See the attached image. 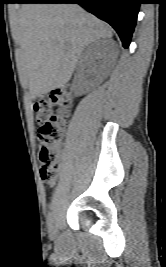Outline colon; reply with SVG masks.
<instances>
[{
	"instance_id": "obj_1",
	"label": "colon",
	"mask_w": 166,
	"mask_h": 267,
	"mask_svg": "<svg viewBox=\"0 0 166 267\" xmlns=\"http://www.w3.org/2000/svg\"><path fill=\"white\" fill-rule=\"evenodd\" d=\"M73 101L71 87L65 86L34 103L38 123L41 175L45 182L53 181L60 168L59 145L63 139L65 120L71 113Z\"/></svg>"
}]
</instances>
